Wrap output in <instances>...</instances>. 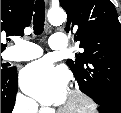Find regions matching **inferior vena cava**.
I'll return each mask as SVG.
<instances>
[{
  "label": "inferior vena cava",
  "instance_id": "602c4592",
  "mask_svg": "<svg viewBox=\"0 0 121 113\" xmlns=\"http://www.w3.org/2000/svg\"><path fill=\"white\" fill-rule=\"evenodd\" d=\"M38 104L32 100H25L17 103L13 113H37Z\"/></svg>",
  "mask_w": 121,
  "mask_h": 113
}]
</instances>
